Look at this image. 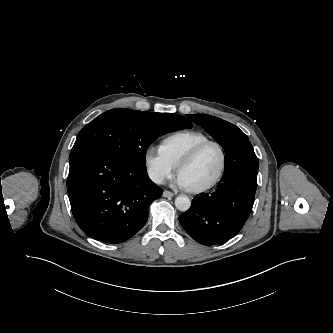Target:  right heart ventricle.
Returning <instances> with one entry per match:
<instances>
[{"label":"right heart ventricle","mask_w":333,"mask_h":333,"mask_svg":"<svg viewBox=\"0 0 333 333\" xmlns=\"http://www.w3.org/2000/svg\"><path fill=\"white\" fill-rule=\"evenodd\" d=\"M209 138L196 130L176 132L164 138L160 144V150L174 166L198 144L208 141Z\"/></svg>","instance_id":"1"}]
</instances>
